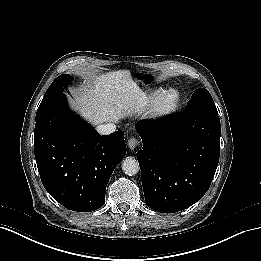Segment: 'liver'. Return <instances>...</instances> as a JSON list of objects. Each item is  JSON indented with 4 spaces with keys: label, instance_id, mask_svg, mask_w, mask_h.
<instances>
[{
    "label": "liver",
    "instance_id": "liver-1",
    "mask_svg": "<svg viewBox=\"0 0 261 261\" xmlns=\"http://www.w3.org/2000/svg\"><path fill=\"white\" fill-rule=\"evenodd\" d=\"M115 73L95 76L93 81L70 100L72 108L93 126L117 122L125 114L126 105L114 86Z\"/></svg>",
    "mask_w": 261,
    "mask_h": 261
}]
</instances>
